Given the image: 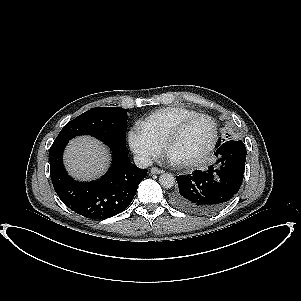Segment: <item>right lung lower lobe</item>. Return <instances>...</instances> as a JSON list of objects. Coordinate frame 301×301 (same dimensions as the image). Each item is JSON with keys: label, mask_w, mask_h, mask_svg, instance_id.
<instances>
[{"label": "right lung lower lobe", "mask_w": 301, "mask_h": 301, "mask_svg": "<svg viewBox=\"0 0 301 301\" xmlns=\"http://www.w3.org/2000/svg\"><path fill=\"white\" fill-rule=\"evenodd\" d=\"M113 154L109 171L97 181L78 182L65 171L62 154L69 139L55 140L50 148V176L60 200L72 211L90 219H106L124 211L132 202L147 169H140L128 159L125 145L99 139Z\"/></svg>", "instance_id": "right-lung-lower-lobe-1"}]
</instances>
